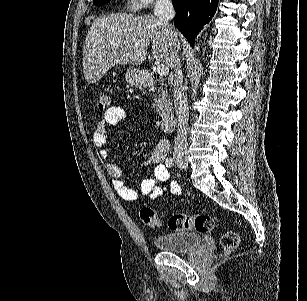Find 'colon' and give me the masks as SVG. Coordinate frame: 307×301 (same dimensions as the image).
<instances>
[{
  "mask_svg": "<svg viewBox=\"0 0 307 301\" xmlns=\"http://www.w3.org/2000/svg\"><path fill=\"white\" fill-rule=\"evenodd\" d=\"M110 106L109 95L102 91L98 95L97 110L100 113L106 112ZM142 222L150 228H160L162 226L161 218L158 212L150 207H143L140 210ZM214 220L207 214H174L168 220V226L173 231L193 230L199 233L210 232L214 228ZM221 246L226 253L233 251L239 245V235L235 231H228L221 237Z\"/></svg>",
  "mask_w": 307,
  "mask_h": 301,
  "instance_id": "obj_1",
  "label": "colon"
}]
</instances>
